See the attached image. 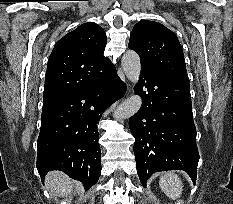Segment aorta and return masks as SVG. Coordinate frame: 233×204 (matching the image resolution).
I'll return each instance as SVG.
<instances>
[{
	"instance_id": "aorta-1",
	"label": "aorta",
	"mask_w": 233,
	"mask_h": 204,
	"mask_svg": "<svg viewBox=\"0 0 233 204\" xmlns=\"http://www.w3.org/2000/svg\"><path fill=\"white\" fill-rule=\"evenodd\" d=\"M121 64L126 77L133 84H136L141 72V63L138 54L133 50L126 51L122 56ZM141 105V97L132 95L116 108L113 113V118L116 120L130 118L139 111Z\"/></svg>"
}]
</instances>
